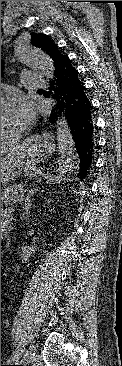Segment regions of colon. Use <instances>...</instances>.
Returning <instances> with one entry per match:
<instances>
[{"label":"colon","mask_w":122,"mask_h":366,"mask_svg":"<svg viewBox=\"0 0 122 366\" xmlns=\"http://www.w3.org/2000/svg\"><path fill=\"white\" fill-rule=\"evenodd\" d=\"M5 227H6V224L2 225V222H1V232L5 230Z\"/></svg>","instance_id":"1"}]
</instances>
